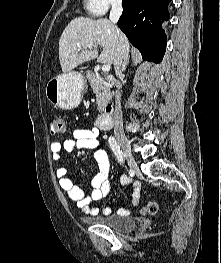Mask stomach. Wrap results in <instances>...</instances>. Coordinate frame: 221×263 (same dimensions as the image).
Masks as SVG:
<instances>
[{
    "label": "stomach",
    "mask_w": 221,
    "mask_h": 263,
    "mask_svg": "<svg viewBox=\"0 0 221 263\" xmlns=\"http://www.w3.org/2000/svg\"><path fill=\"white\" fill-rule=\"evenodd\" d=\"M85 89L86 80L81 73L65 72L48 81L46 97L54 106L63 110H71L80 104Z\"/></svg>",
    "instance_id": "stomach-1"
}]
</instances>
